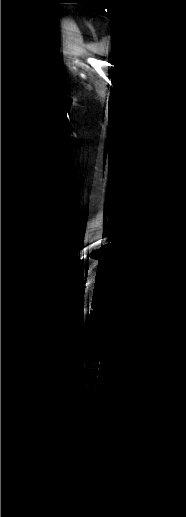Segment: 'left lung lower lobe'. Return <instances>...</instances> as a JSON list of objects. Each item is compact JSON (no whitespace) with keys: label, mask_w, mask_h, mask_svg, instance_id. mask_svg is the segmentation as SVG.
I'll return each instance as SVG.
<instances>
[{"label":"left lung lower lobe","mask_w":186,"mask_h":517,"mask_svg":"<svg viewBox=\"0 0 186 517\" xmlns=\"http://www.w3.org/2000/svg\"><path fill=\"white\" fill-rule=\"evenodd\" d=\"M107 251H108L107 248H100V249L92 251L91 252V256H93V257H100V256H103V254H106Z\"/></svg>","instance_id":"left-lung-lower-lobe-1"}]
</instances>
